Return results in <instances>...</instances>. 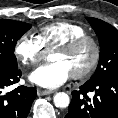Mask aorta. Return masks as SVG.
<instances>
[{
	"instance_id": "obj_1",
	"label": "aorta",
	"mask_w": 118,
	"mask_h": 118,
	"mask_svg": "<svg viewBox=\"0 0 118 118\" xmlns=\"http://www.w3.org/2000/svg\"><path fill=\"white\" fill-rule=\"evenodd\" d=\"M53 102L57 108L63 109L69 106L70 98L65 92H58L54 95Z\"/></svg>"
}]
</instances>
